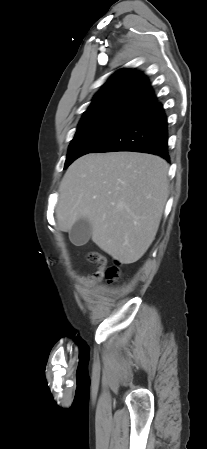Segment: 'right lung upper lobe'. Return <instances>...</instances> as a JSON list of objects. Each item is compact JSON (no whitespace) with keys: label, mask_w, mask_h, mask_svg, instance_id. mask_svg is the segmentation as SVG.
<instances>
[{"label":"right lung upper lobe","mask_w":207,"mask_h":449,"mask_svg":"<svg viewBox=\"0 0 207 449\" xmlns=\"http://www.w3.org/2000/svg\"><path fill=\"white\" fill-rule=\"evenodd\" d=\"M156 101L144 74L123 69L108 79L83 116L114 110L137 113Z\"/></svg>","instance_id":"1"}]
</instances>
